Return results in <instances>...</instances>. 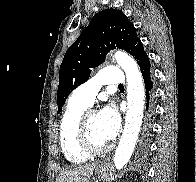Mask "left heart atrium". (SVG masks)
I'll return each instance as SVG.
<instances>
[{"instance_id":"left-heart-atrium-1","label":"left heart atrium","mask_w":196,"mask_h":182,"mask_svg":"<svg viewBox=\"0 0 196 182\" xmlns=\"http://www.w3.org/2000/svg\"><path fill=\"white\" fill-rule=\"evenodd\" d=\"M97 124L107 141H111L116 136L120 127V117L112 104L106 105L97 114Z\"/></svg>"}]
</instances>
